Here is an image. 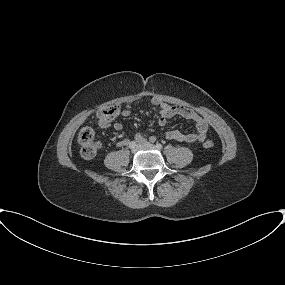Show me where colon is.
Instances as JSON below:
<instances>
[{
	"label": "colon",
	"mask_w": 285,
	"mask_h": 285,
	"mask_svg": "<svg viewBox=\"0 0 285 285\" xmlns=\"http://www.w3.org/2000/svg\"><path fill=\"white\" fill-rule=\"evenodd\" d=\"M119 112L120 109L117 106H108L98 112V117L104 122H110L119 114ZM78 142L80 145V153L82 157L90 159L96 156L100 148V144L95 139L93 129L88 127L81 129L78 134ZM213 145L214 144L211 140H207L204 143V147L207 149L212 148Z\"/></svg>",
	"instance_id": "1"
}]
</instances>
